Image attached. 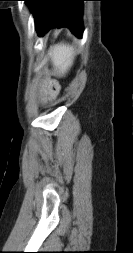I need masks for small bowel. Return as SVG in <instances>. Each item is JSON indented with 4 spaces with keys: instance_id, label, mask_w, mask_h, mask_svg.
<instances>
[{
    "instance_id": "obj_1",
    "label": "small bowel",
    "mask_w": 133,
    "mask_h": 253,
    "mask_svg": "<svg viewBox=\"0 0 133 253\" xmlns=\"http://www.w3.org/2000/svg\"><path fill=\"white\" fill-rule=\"evenodd\" d=\"M59 91V86L56 83H50L46 85L43 89V99L48 101L55 98Z\"/></svg>"
}]
</instances>
